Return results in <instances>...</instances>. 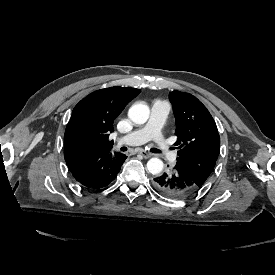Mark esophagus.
I'll return each mask as SVG.
<instances>
[{
    "mask_svg": "<svg viewBox=\"0 0 275 275\" xmlns=\"http://www.w3.org/2000/svg\"><path fill=\"white\" fill-rule=\"evenodd\" d=\"M139 154H141L143 156V158L147 159V158H150L151 157V154L148 153L147 151L145 150H141L139 151Z\"/></svg>",
    "mask_w": 275,
    "mask_h": 275,
    "instance_id": "34e87169",
    "label": "esophagus"
}]
</instances>
